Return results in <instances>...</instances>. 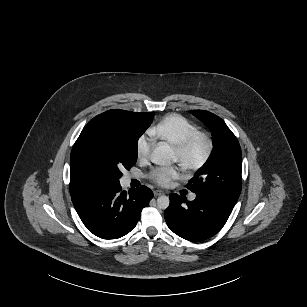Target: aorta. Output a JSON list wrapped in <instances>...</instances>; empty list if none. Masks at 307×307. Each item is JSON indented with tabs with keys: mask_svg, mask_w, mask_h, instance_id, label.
<instances>
[{
	"mask_svg": "<svg viewBox=\"0 0 307 307\" xmlns=\"http://www.w3.org/2000/svg\"><path fill=\"white\" fill-rule=\"evenodd\" d=\"M174 150L166 142H161L153 150L151 154V162L158 165H169L172 163V155ZM170 199L166 195H161L157 198V206L160 209L168 208Z\"/></svg>",
	"mask_w": 307,
	"mask_h": 307,
	"instance_id": "1",
	"label": "aorta"
}]
</instances>
